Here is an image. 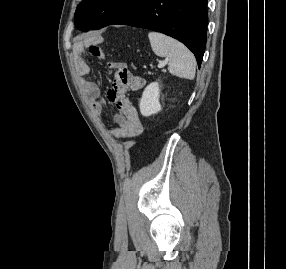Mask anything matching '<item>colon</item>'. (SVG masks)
Wrapping results in <instances>:
<instances>
[{
	"label": "colon",
	"mask_w": 286,
	"mask_h": 269,
	"mask_svg": "<svg viewBox=\"0 0 286 269\" xmlns=\"http://www.w3.org/2000/svg\"><path fill=\"white\" fill-rule=\"evenodd\" d=\"M92 45L96 48H100L96 43ZM128 65V61L116 62L113 84L115 88H118L120 93H124L125 91H141L142 83H145V78H135L127 68ZM128 104L129 105H126V110H141V105H138V100H129Z\"/></svg>",
	"instance_id": "colon-1"
}]
</instances>
